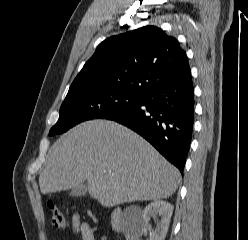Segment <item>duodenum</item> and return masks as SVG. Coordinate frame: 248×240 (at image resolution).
<instances>
[{
    "instance_id": "obj_1",
    "label": "duodenum",
    "mask_w": 248,
    "mask_h": 240,
    "mask_svg": "<svg viewBox=\"0 0 248 240\" xmlns=\"http://www.w3.org/2000/svg\"><path fill=\"white\" fill-rule=\"evenodd\" d=\"M111 225L113 229L117 231H122L124 229L125 223L123 220V213L120 209H115L112 212Z\"/></svg>"
}]
</instances>
